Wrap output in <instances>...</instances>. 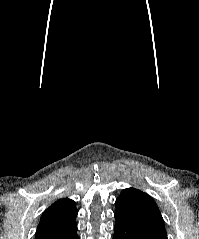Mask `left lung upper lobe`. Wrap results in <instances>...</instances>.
Returning a JSON list of instances; mask_svg holds the SVG:
<instances>
[{"instance_id":"left-lung-upper-lobe-1","label":"left lung upper lobe","mask_w":199,"mask_h":239,"mask_svg":"<svg viewBox=\"0 0 199 239\" xmlns=\"http://www.w3.org/2000/svg\"><path fill=\"white\" fill-rule=\"evenodd\" d=\"M116 213L125 215L151 230L161 239H167L164 220L155 201L141 190H122L116 199Z\"/></svg>"}]
</instances>
